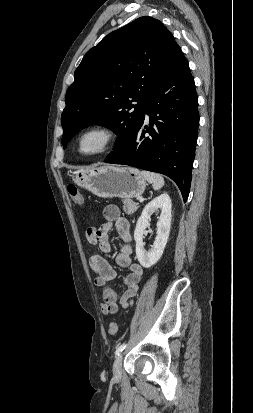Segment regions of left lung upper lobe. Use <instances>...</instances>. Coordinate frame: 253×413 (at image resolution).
I'll return each mask as SVG.
<instances>
[{
  "mask_svg": "<svg viewBox=\"0 0 253 413\" xmlns=\"http://www.w3.org/2000/svg\"><path fill=\"white\" fill-rule=\"evenodd\" d=\"M179 49L171 32L151 17H140L105 36L85 54L66 92L63 147L81 129L101 124L118 136L107 158L122 151Z\"/></svg>",
  "mask_w": 253,
  "mask_h": 413,
  "instance_id": "left-lung-upper-lobe-1",
  "label": "left lung upper lobe"
}]
</instances>
